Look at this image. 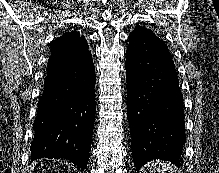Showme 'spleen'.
<instances>
[{"mask_svg":"<svg viewBox=\"0 0 219 173\" xmlns=\"http://www.w3.org/2000/svg\"><path fill=\"white\" fill-rule=\"evenodd\" d=\"M152 173H179L172 165L165 162H153L149 164Z\"/></svg>","mask_w":219,"mask_h":173,"instance_id":"spleen-1","label":"spleen"}]
</instances>
